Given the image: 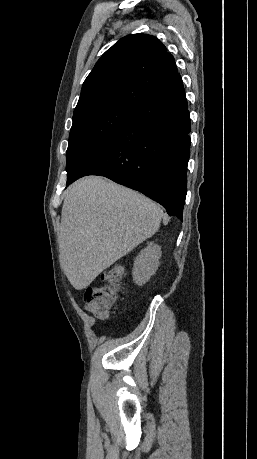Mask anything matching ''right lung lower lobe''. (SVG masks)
Returning a JSON list of instances; mask_svg holds the SVG:
<instances>
[{
	"label": "right lung lower lobe",
	"mask_w": 257,
	"mask_h": 459,
	"mask_svg": "<svg viewBox=\"0 0 257 459\" xmlns=\"http://www.w3.org/2000/svg\"><path fill=\"white\" fill-rule=\"evenodd\" d=\"M190 115L183 82L137 108L111 141L67 178L105 176L140 191L182 220L187 193Z\"/></svg>",
	"instance_id": "98d812e1"
}]
</instances>
